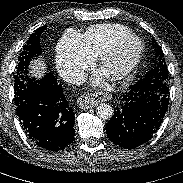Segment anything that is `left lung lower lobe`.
<instances>
[{"instance_id": "left-lung-lower-lobe-1", "label": "left lung lower lobe", "mask_w": 183, "mask_h": 183, "mask_svg": "<svg viewBox=\"0 0 183 183\" xmlns=\"http://www.w3.org/2000/svg\"><path fill=\"white\" fill-rule=\"evenodd\" d=\"M168 101V94L130 86L120 95L119 105L106 125L108 138L124 149L146 143L161 126Z\"/></svg>"}]
</instances>
